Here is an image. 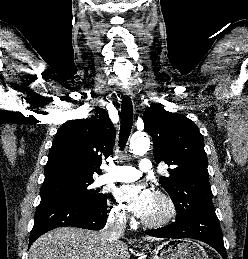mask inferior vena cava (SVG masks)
I'll return each instance as SVG.
<instances>
[{
  "label": "inferior vena cava",
  "instance_id": "602c4592",
  "mask_svg": "<svg viewBox=\"0 0 248 259\" xmlns=\"http://www.w3.org/2000/svg\"><path fill=\"white\" fill-rule=\"evenodd\" d=\"M126 218L124 214H110L102 234L107 237L109 243L117 241L124 235Z\"/></svg>",
  "mask_w": 248,
  "mask_h": 259
}]
</instances>
